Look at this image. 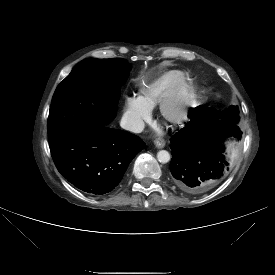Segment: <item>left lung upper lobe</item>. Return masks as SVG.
Returning a JSON list of instances; mask_svg holds the SVG:
<instances>
[{"mask_svg": "<svg viewBox=\"0 0 275 275\" xmlns=\"http://www.w3.org/2000/svg\"><path fill=\"white\" fill-rule=\"evenodd\" d=\"M194 118H206L207 116H216L221 120L231 123H238L239 111L237 106H230L226 111L218 112L206 106H198L194 108Z\"/></svg>", "mask_w": 275, "mask_h": 275, "instance_id": "1", "label": "left lung upper lobe"}]
</instances>
